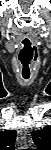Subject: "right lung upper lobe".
<instances>
[{
	"mask_svg": "<svg viewBox=\"0 0 51 150\" xmlns=\"http://www.w3.org/2000/svg\"><path fill=\"white\" fill-rule=\"evenodd\" d=\"M15 139V130H6L4 132H0V150H14Z\"/></svg>",
	"mask_w": 51,
	"mask_h": 150,
	"instance_id": "cb5924a9",
	"label": "right lung upper lobe"
}]
</instances>
